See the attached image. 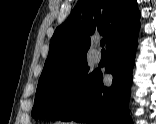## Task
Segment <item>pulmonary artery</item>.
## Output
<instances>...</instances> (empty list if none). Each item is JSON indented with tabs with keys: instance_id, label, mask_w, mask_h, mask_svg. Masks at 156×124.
<instances>
[{
	"instance_id": "obj_1",
	"label": "pulmonary artery",
	"mask_w": 156,
	"mask_h": 124,
	"mask_svg": "<svg viewBox=\"0 0 156 124\" xmlns=\"http://www.w3.org/2000/svg\"><path fill=\"white\" fill-rule=\"evenodd\" d=\"M101 58H102V55H101V53L99 51H95L93 53V59H94L95 62H97V63L100 62Z\"/></svg>"
}]
</instances>
